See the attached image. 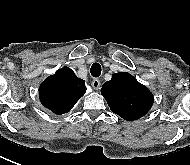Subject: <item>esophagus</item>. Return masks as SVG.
I'll list each match as a JSON object with an SVG mask.
<instances>
[{
	"instance_id": "obj_1",
	"label": "esophagus",
	"mask_w": 190,
	"mask_h": 165,
	"mask_svg": "<svg viewBox=\"0 0 190 165\" xmlns=\"http://www.w3.org/2000/svg\"><path fill=\"white\" fill-rule=\"evenodd\" d=\"M91 85H92L93 89L99 90V89H100V86H101L100 80L94 79V80L91 82Z\"/></svg>"
}]
</instances>
